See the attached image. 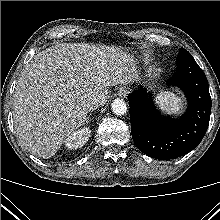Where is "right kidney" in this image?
<instances>
[{
    "label": "right kidney",
    "instance_id": "1",
    "mask_svg": "<svg viewBox=\"0 0 220 220\" xmlns=\"http://www.w3.org/2000/svg\"><path fill=\"white\" fill-rule=\"evenodd\" d=\"M91 130L89 128H82L77 131H74L69 137L65 140V147L68 149H77L85 145L90 137Z\"/></svg>",
    "mask_w": 220,
    "mask_h": 220
}]
</instances>
